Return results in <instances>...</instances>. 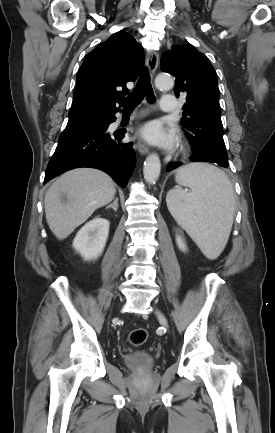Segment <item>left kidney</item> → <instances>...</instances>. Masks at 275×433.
<instances>
[{"label":"left kidney","instance_id":"left-kidney-1","mask_svg":"<svg viewBox=\"0 0 275 433\" xmlns=\"http://www.w3.org/2000/svg\"><path fill=\"white\" fill-rule=\"evenodd\" d=\"M176 242H177L179 249H181L182 251H185V244H184V242L180 236L176 237Z\"/></svg>","mask_w":275,"mask_h":433}]
</instances>
